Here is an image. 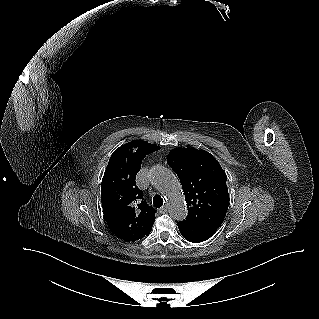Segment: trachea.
I'll return each instance as SVG.
<instances>
[{
    "mask_svg": "<svg viewBox=\"0 0 319 319\" xmlns=\"http://www.w3.org/2000/svg\"><path fill=\"white\" fill-rule=\"evenodd\" d=\"M153 204L156 208H160L163 205V199L159 195L153 197Z\"/></svg>",
    "mask_w": 319,
    "mask_h": 319,
    "instance_id": "trachea-1",
    "label": "trachea"
}]
</instances>
